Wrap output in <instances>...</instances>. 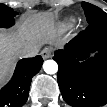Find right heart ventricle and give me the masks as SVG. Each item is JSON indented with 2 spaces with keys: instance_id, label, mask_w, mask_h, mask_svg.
Listing matches in <instances>:
<instances>
[{
  "instance_id": "e07e8e85",
  "label": "right heart ventricle",
  "mask_w": 107,
  "mask_h": 107,
  "mask_svg": "<svg viewBox=\"0 0 107 107\" xmlns=\"http://www.w3.org/2000/svg\"><path fill=\"white\" fill-rule=\"evenodd\" d=\"M68 26H69V22L65 23V24L63 25V28H67Z\"/></svg>"
}]
</instances>
